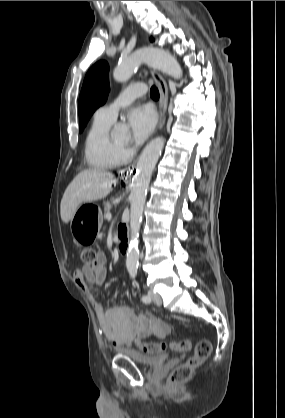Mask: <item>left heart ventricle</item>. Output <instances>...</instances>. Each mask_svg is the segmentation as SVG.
<instances>
[{
  "label": "left heart ventricle",
  "instance_id": "left-heart-ventricle-1",
  "mask_svg": "<svg viewBox=\"0 0 285 418\" xmlns=\"http://www.w3.org/2000/svg\"><path fill=\"white\" fill-rule=\"evenodd\" d=\"M127 140L128 137L126 135H117L112 137V141L119 146H124Z\"/></svg>",
  "mask_w": 285,
  "mask_h": 418
}]
</instances>
